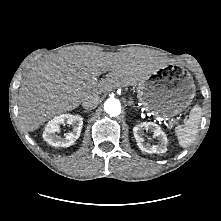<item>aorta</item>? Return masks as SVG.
<instances>
[{
  "label": "aorta",
  "mask_w": 221,
  "mask_h": 221,
  "mask_svg": "<svg viewBox=\"0 0 221 221\" xmlns=\"http://www.w3.org/2000/svg\"><path fill=\"white\" fill-rule=\"evenodd\" d=\"M104 110L110 116H117L121 112V104L115 98H109L104 103Z\"/></svg>",
  "instance_id": "1"
}]
</instances>
